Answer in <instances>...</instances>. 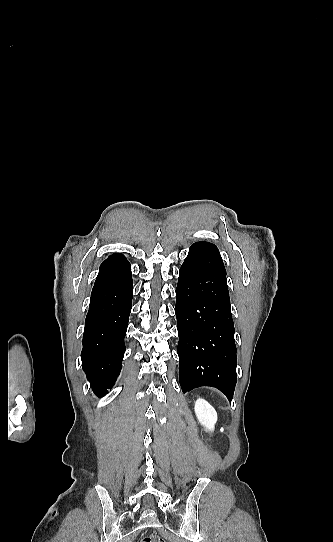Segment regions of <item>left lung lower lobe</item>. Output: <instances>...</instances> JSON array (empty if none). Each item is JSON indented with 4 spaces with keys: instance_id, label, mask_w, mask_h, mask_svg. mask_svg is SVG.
Here are the masks:
<instances>
[{
    "instance_id": "0a47b994",
    "label": "left lung lower lobe",
    "mask_w": 333,
    "mask_h": 542,
    "mask_svg": "<svg viewBox=\"0 0 333 542\" xmlns=\"http://www.w3.org/2000/svg\"><path fill=\"white\" fill-rule=\"evenodd\" d=\"M179 380L183 393L211 386L233 398L236 345L226 270L214 244L196 242L176 288Z\"/></svg>"
}]
</instances>
